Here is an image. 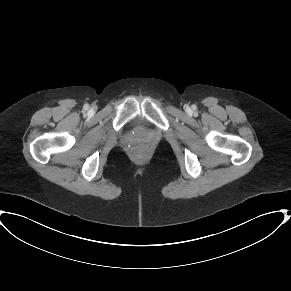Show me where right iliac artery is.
<instances>
[{
	"mask_svg": "<svg viewBox=\"0 0 291 291\" xmlns=\"http://www.w3.org/2000/svg\"><path fill=\"white\" fill-rule=\"evenodd\" d=\"M84 109H85V110H88V109H89V105H88V104H85V105H84Z\"/></svg>",
	"mask_w": 291,
	"mask_h": 291,
	"instance_id": "82829eb1",
	"label": "right iliac artery"
}]
</instances>
